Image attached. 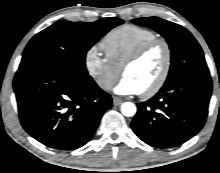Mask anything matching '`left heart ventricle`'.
<instances>
[{
    "instance_id": "obj_1",
    "label": "left heart ventricle",
    "mask_w": 220,
    "mask_h": 173,
    "mask_svg": "<svg viewBox=\"0 0 220 173\" xmlns=\"http://www.w3.org/2000/svg\"><path fill=\"white\" fill-rule=\"evenodd\" d=\"M165 63V50L162 46L150 51L142 60L130 66L124 76L131 78L141 92L149 89L159 78Z\"/></svg>"
}]
</instances>
